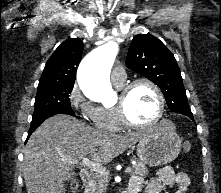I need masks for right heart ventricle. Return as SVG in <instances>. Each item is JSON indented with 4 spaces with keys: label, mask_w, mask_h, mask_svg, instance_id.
<instances>
[{
    "label": "right heart ventricle",
    "mask_w": 221,
    "mask_h": 193,
    "mask_svg": "<svg viewBox=\"0 0 221 193\" xmlns=\"http://www.w3.org/2000/svg\"><path fill=\"white\" fill-rule=\"evenodd\" d=\"M118 89L122 85H115ZM95 125L108 131H120L125 128L122 124L115 106H99Z\"/></svg>",
    "instance_id": "e07e8e85"
}]
</instances>
